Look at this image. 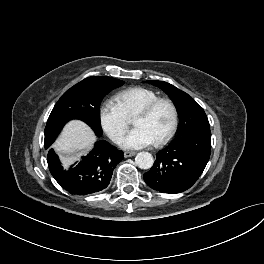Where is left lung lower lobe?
I'll return each instance as SVG.
<instances>
[{"label":"left lung lower lobe","instance_id":"1","mask_svg":"<svg viewBox=\"0 0 264 264\" xmlns=\"http://www.w3.org/2000/svg\"><path fill=\"white\" fill-rule=\"evenodd\" d=\"M211 152L210 130L198 131L173 140L156 157L152 168L143 175L148 186L163 193L189 189L202 174Z\"/></svg>","mask_w":264,"mask_h":264}]
</instances>
